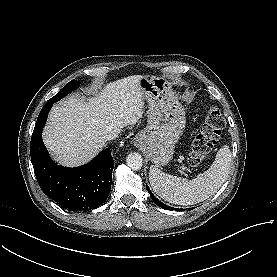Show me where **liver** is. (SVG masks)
<instances>
[{
    "instance_id": "liver-1",
    "label": "liver",
    "mask_w": 277,
    "mask_h": 277,
    "mask_svg": "<svg viewBox=\"0 0 277 277\" xmlns=\"http://www.w3.org/2000/svg\"><path fill=\"white\" fill-rule=\"evenodd\" d=\"M141 77L110 82L87 101L73 95L53 106L42 133L53 158L68 167L87 163L106 145L109 133L136 124L144 107Z\"/></svg>"
}]
</instances>
